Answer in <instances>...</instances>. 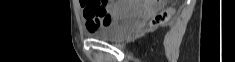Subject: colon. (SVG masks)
I'll list each match as a JSON object with an SVG mask.
<instances>
[{
    "label": "colon",
    "instance_id": "obj_1",
    "mask_svg": "<svg viewBox=\"0 0 235 62\" xmlns=\"http://www.w3.org/2000/svg\"><path fill=\"white\" fill-rule=\"evenodd\" d=\"M83 4L86 6V14L88 16H94L98 20L104 21L105 24L111 20L108 17V12L105 6L100 3V1H83ZM171 15V9L164 10L155 16V18L152 20V25L156 26L167 22Z\"/></svg>",
    "mask_w": 235,
    "mask_h": 62
}]
</instances>
